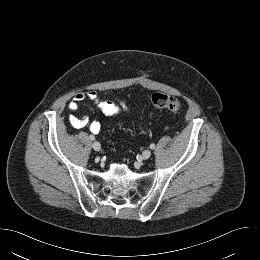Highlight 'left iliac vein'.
<instances>
[{"mask_svg":"<svg viewBox=\"0 0 260 260\" xmlns=\"http://www.w3.org/2000/svg\"><path fill=\"white\" fill-rule=\"evenodd\" d=\"M150 156H151V151H150V150L147 149V150H144V151L142 152V159H143V160L149 159Z\"/></svg>","mask_w":260,"mask_h":260,"instance_id":"1","label":"left iliac vein"}]
</instances>
